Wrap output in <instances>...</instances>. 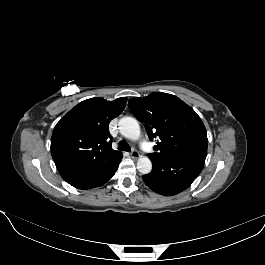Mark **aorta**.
<instances>
[{"label": "aorta", "mask_w": 265, "mask_h": 265, "mask_svg": "<svg viewBox=\"0 0 265 265\" xmlns=\"http://www.w3.org/2000/svg\"><path fill=\"white\" fill-rule=\"evenodd\" d=\"M119 131L130 140H137L141 135L139 123L132 117H123L119 120ZM137 169L141 174H148L152 170V162L148 157L142 156L137 161Z\"/></svg>", "instance_id": "1"}]
</instances>
